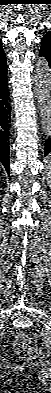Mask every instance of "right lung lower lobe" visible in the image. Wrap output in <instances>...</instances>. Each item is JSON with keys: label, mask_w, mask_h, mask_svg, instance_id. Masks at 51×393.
Returning <instances> with one entry per match:
<instances>
[{"label": "right lung lower lobe", "mask_w": 51, "mask_h": 393, "mask_svg": "<svg viewBox=\"0 0 51 393\" xmlns=\"http://www.w3.org/2000/svg\"><path fill=\"white\" fill-rule=\"evenodd\" d=\"M11 122L7 69L0 73V162L9 174V136Z\"/></svg>", "instance_id": "98d812e1"}]
</instances>
